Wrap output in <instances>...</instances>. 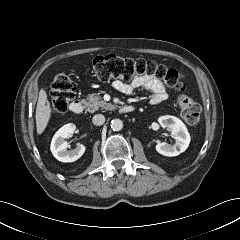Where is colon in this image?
Instances as JSON below:
<instances>
[{
  "mask_svg": "<svg viewBox=\"0 0 240 240\" xmlns=\"http://www.w3.org/2000/svg\"><path fill=\"white\" fill-rule=\"evenodd\" d=\"M92 67L98 79L103 82L120 80L128 83L135 78L148 76L163 80L178 93L184 90V85L176 70L154 61L123 58L110 54L96 57ZM75 91L76 85L68 75L57 74L52 83L50 111L55 115L64 113L69 102L74 98ZM178 105L186 123L194 125L199 121L201 109L192 98L181 94L178 98Z\"/></svg>",
  "mask_w": 240,
  "mask_h": 240,
  "instance_id": "colon-1",
  "label": "colon"
}]
</instances>
